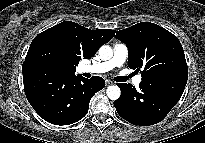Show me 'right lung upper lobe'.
Returning <instances> with one entry per match:
<instances>
[{
    "mask_svg": "<svg viewBox=\"0 0 205 143\" xmlns=\"http://www.w3.org/2000/svg\"><path fill=\"white\" fill-rule=\"evenodd\" d=\"M115 33V30H90L75 22L64 21L37 36L55 35L62 38L71 46L77 59L80 61L81 59H90L103 44L113 38ZM24 63L27 62L24 61Z\"/></svg>",
    "mask_w": 205,
    "mask_h": 143,
    "instance_id": "obj_1",
    "label": "right lung upper lobe"
}]
</instances>
